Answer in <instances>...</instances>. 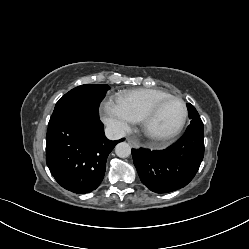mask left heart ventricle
Here are the masks:
<instances>
[{
  "label": "left heart ventricle",
  "instance_id": "left-heart-ventricle-1",
  "mask_svg": "<svg viewBox=\"0 0 249 249\" xmlns=\"http://www.w3.org/2000/svg\"><path fill=\"white\" fill-rule=\"evenodd\" d=\"M183 115V106L177 100L167 102L150 123V132L155 136L173 131Z\"/></svg>",
  "mask_w": 249,
  "mask_h": 249
}]
</instances>
